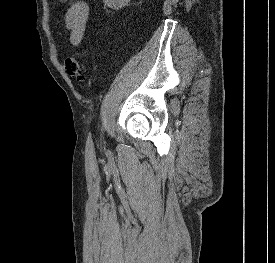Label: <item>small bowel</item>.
<instances>
[{
	"label": "small bowel",
	"mask_w": 275,
	"mask_h": 263,
	"mask_svg": "<svg viewBox=\"0 0 275 263\" xmlns=\"http://www.w3.org/2000/svg\"><path fill=\"white\" fill-rule=\"evenodd\" d=\"M88 18V4L82 0H71L65 13L64 22L70 32L72 45L78 46L83 40Z\"/></svg>",
	"instance_id": "small-bowel-1"
}]
</instances>
